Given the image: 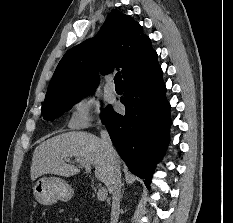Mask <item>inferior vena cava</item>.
I'll list each match as a JSON object with an SVG mask.
<instances>
[{"label": "inferior vena cava", "mask_w": 233, "mask_h": 223, "mask_svg": "<svg viewBox=\"0 0 233 223\" xmlns=\"http://www.w3.org/2000/svg\"><path fill=\"white\" fill-rule=\"evenodd\" d=\"M101 143L104 151H106L109 159H111L110 167L112 169V177L108 189L112 193V207L110 215V223H117L120 211V193H121V173L118 163V153L113 149L112 141L107 129H101Z\"/></svg>", "instance_id": "602c4592"}]
</instances>
